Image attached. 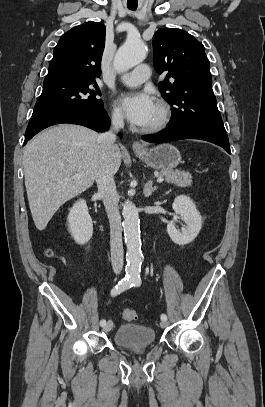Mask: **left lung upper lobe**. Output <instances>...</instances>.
<instances>
[{"label": "left lung upper lobe", "mask_w": 265, "mask_h": 407, "mask_svg": "<svg viewBox=\"0 0 265 407\" xmlns=\"http://www.w3.org/2000/svg\"><path fill=\"white\" fill-rule=\"evenodd\" d=\"M152 43L155 69L159 74L168 72L159 83L162 97L172 108L167 127H192L228 138L203 44L177 28L159 29Z\"/></svg>", "instance_id": "1"}]
</instances>
